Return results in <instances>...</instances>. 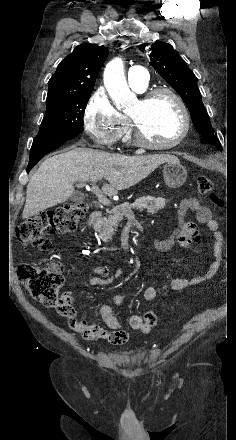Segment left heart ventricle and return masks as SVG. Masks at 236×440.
<instances>
[{
  "label": "left heart ventricle",
  "instance_id": "obj_1",
  "mask_svg": "<svg viewBox=\"0 0 236 440\" xmlns=\"http://www.w3.org/2000/svg\"><path fill=\"white\" fill-rule=\"evenodd\" d=\"M139 123L145 137L157 144L175 140L183 128L181 113L168 95L156 96L146 104L138 100L130 111Z\"/></svg>",
  "mask_w": 236,
  "mask_h": 440
}]
</instances>
